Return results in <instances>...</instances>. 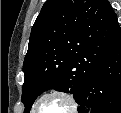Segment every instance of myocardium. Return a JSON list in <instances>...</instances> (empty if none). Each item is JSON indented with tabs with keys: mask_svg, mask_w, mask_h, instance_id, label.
<instances>
[{
	"mask_svg": "<svg viewBox=\"0 0 121 113\" xmlns=\"http://www.w3.org/2000/svg\"><path fill=\"white\" fill-rule=\"evenodd\" d=\"M59 97L61 99H63L64 101L67 102V104L69 105V112L66 113H72V111L77 110V101L76 99L69 93L63 91V90H52L49 91L47 93H44L43 95H41L35 102L34 106H33V111L35 113H37L38 107L40 105V103L45 100L48 97Z\"/></svg>",
	"mask_w": 121,
	"mask_h": 113,
	"instance_id": "1",
	"label": "myocardium"
}]
</instances>
